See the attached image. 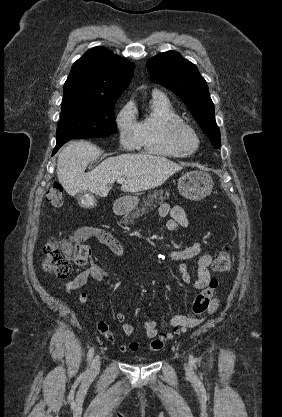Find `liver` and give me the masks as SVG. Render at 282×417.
Segmentation results:
<instances>
[{"instance_id": "6515ba94", "label": "liver", "mask_w": 282, "mask_h": 417, "mask_svg": "<svg viewBox=\"0 0 282 417\" xmlns=\"http://www.w3.org/2000/svg\"><path fill=\"white\" fill-rule=\"evenodd\" d=\"M99 150L88 140H75L63 148L57 160V176L68 194L90 190L98 196H107L117 178H124L121 190L139 192L161 186L169 176L183 166L153 154H119L108 156L90 172H85Z\"/></svg>"}]
</instances>
